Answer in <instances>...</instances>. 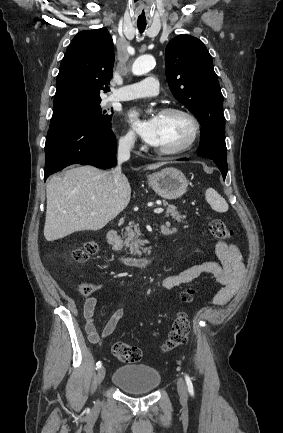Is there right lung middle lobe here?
<instances>
[{"label":"right lung middle lobe","mask_w":283,"mask_h":433,"mask_svg":"<svg viewBox=\"0 0 283 433\" xmlns=\"http://www.w3.org/2000/svg\"><path fill=\"white\" fill-rule=\"evenodd\" d=\"M100 103L101 100L53 112L51 123L89 121L109 126L111 124L112 115L106 114V110H102Z\"/></svg>","instance_id":"1"}]
</instances>
